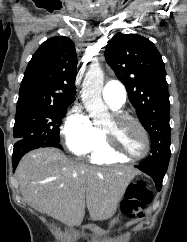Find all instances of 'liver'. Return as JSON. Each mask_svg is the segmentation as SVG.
Masks as SVG:
<instances>
[{
  "instance_id": "6515ba94",
  "label": "liver",
  "mask_w": 187,
  "mask_h": 242,
  "mask_svg": "<svg viewBox=\"0 0 187 242\" xmlns=\"http://www.w3.org/2000/svg\"><path fill=\"white\" fill-rule=\"evenodd\" d=\"M138 173L131 167L90 166L54 148L29 152L16 170L23 199L69 226L82 223L85 204L93 221L111 218Z\"/></svg>"
}]
</instances>
